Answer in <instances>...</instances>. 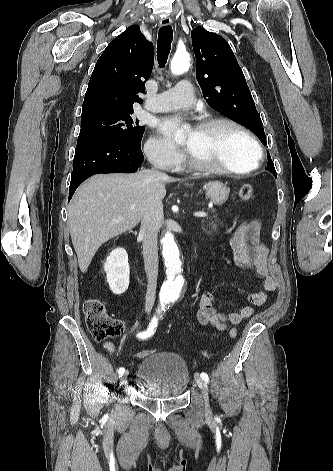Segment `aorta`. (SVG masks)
<instances>
[{"label":"aorta","mask_w":333,"mask_h":471,"mask_svg":"<svg viewBox=\"0 0 333 471\" xmlns=\"http://www.w3.org/2000/svg\"><path fill=\"white\" fill-rule=\"evenodd\" d=\"M189 64L190 56L188 53L175 54L170 65L172 74H183L188 69ZM183 138V132L178 131L176 140L181 141ZM161 244L162 255L167 269V280L163 283L159 295L160 303L162 306H164L171 299L180 296L184 285V278L182 276V261L180 258V251L175 242L173 234L167 231L161 239Z\"/></svg>","instance_id":"aorta-1"}]
</instances>
